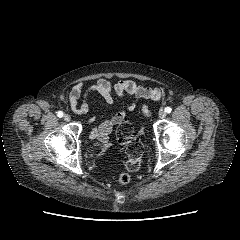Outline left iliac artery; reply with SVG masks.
Instances as JSON below:
<instances>
[{
  "label": "left iliac artery",
  "mask_w": 240,
  "mask_h": 240,
  "mask_svg": "<svg viewBox=\"0 0 240 240\" xmlns=\"http://www.w3.org/2000/svg\"><path fill=\"white\" fill-rule=\"evenodd\" d=\"M171 111H172L171 107H166V108H165V112H166V113H170Z\"/></svg>",
  "instance_id": "left-iliac-artery-1"
}]
</instances>
